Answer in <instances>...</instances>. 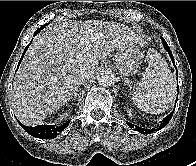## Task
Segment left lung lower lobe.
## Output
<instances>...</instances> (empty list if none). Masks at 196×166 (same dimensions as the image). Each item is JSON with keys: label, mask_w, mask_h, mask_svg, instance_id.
I'll use <instances>...</instances> for the list:
<instances>
[{"label": "left lung lower lobe", "mask_w": 196, "mask_h": 166, "mask_svg": "<svg viewBox=\"0 0 196 166\" xmlns=\"http://www.w3.org/2000/svg\"><path fill=\"white\" fill-rule=\"evenodd\" d=\"M161 40H162V43H163V45H164L165 50H166V51L169 53V55H170V58H171V60H172V62H173V64H174V67L176 68L175 62H174V57H173V55H172V52L170 51V48H169L168 44L166 43V41L164 40L163 37H161ZM176 70H177V68H176ZM177 74H178V73L176 72V75H177ZM176 100H177V99H176ZM172 115H173V112H171L167 117H165V118L160 122V124H158L156 127L152 128V129H144V128L138 127V126H136V125H134V124H132V123H129L128 121H127L126 123H127V125H128L130 128H133L135 131H138V132H140V133H142V134H151L152 132L157 131V130H160V129H162L163 127H165V126L169 123V121L171 120Z\"/></svg>", "instance_id": "1"}]
</instances>
